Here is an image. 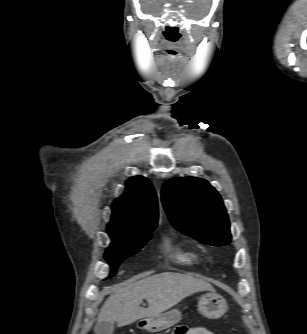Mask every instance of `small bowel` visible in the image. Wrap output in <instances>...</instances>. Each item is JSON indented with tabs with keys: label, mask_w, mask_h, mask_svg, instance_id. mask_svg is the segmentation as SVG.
<instances>
[{
	"label": "small bowel",
	"mask_w": 307,
	"mask_h": 334,
	"mask_svg": "<svg viewBox=\"0 0 307 334\" xmlns=\"http://www.w3.org/2000/svg\"><path fill=\"white\" fill-rule=\"evenodd\" d=\"M176 334H214L211 330L203 326H195L191 328L182 327Z\"/></svg>",
	"instance_id": "small-bowel-1"
}]
</instances>
